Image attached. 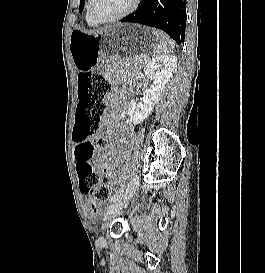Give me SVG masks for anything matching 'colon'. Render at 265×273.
<instances>
[{"instance_id":"colon-1","label":"colon","mask_w":265,"mask_h":273,"mask_svg":"<svg viewBox=\"0 0 265 273\" xmlns=\"http://www.w3.org/2000/svg\"><path fill=\"white\" fill-rule=\"evenodd\" d=\"M110 90L111 84L102 74L86 70L78 74L77 119L71 138L79 143L75 148L76 172L81 192L89 197V207L108 200L110 195L106 180L92 165L95 154L107 146V140L98 133L107 111L104 99Z\"/></svg>"}]
</instances>
